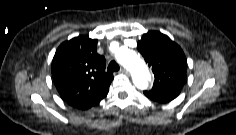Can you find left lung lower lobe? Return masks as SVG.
Here are the masks:
<instances>
[{
	"label": "left lung lower lobe",
	"mask_w": 236,
	"mask_h": 135,
	"mask_svg": "<svg viewBox=\"0 0 236 135\" xmlns=\"http://www.w3.org/2000/svg\"><path fill=\"white\" fill-rule=\"evenodd\" d=\"M180 91L181 89H171L156 92L144 91V94L153 101L165 103L176 98L179 95Z\"/></svg>",
	"instance_id": "0a47b994"
}]
</instances>
